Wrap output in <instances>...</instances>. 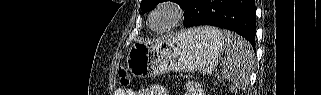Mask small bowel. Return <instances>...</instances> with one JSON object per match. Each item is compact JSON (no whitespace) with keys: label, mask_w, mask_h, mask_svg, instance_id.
Listing matches in <instances>:
<instances>
[{"label":"small bowel","mask_w":321,"mask_h":95,"mask_svg":"<svg viewBox=\"0 0 321 95\" xmlns=\"http://www.w3.org/2000/svg\"><path fill=\"white\" fill-rule=\"evenodd\" d=\"M197 94H202L201 90L196 92ZM127 95H169L167 88L160 84H153L148 89L142 91H136L135 89H127Z\"/></svg>","instance_id":"1"}]
</instances>
